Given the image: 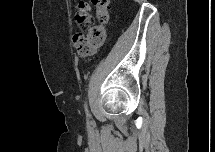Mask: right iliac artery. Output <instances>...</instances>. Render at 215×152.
<instances>
[{
    "instance_id": "1",
    "label": "right iliac artery",
    "mask_w": 215,
    "mask_h": 152,
    "mask_svg": "<svg viewBox=\"0 0 215 152\" xmlns=\"http://www.w3.org/2000/svg\"><path fill=\"white\" fill-rule=\"evenodd\" d=\"M85 110H86V112H87V116H89L88 110H87V105H86V104H85Z\"/></svg>"
}]
</instances>
